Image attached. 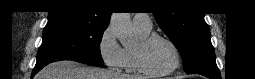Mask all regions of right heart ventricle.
<instances>
[{
  "label": "right heart ventricle",
  "instance_id": "e07e8e85",
  "mask_svg": "<svg viewBox=\"0 0 255 79\" xmlns=\"http://www.w3.org/2000/svg\"><path fill=\"white\" fill-rule=\"evenodd\" d=\"M136 35L140 41L146 38L151 33L150 30H145L142 28L134 27ZM135 48L136 47H126L124 48V68L127 73L137 74L140 71L137 68L136 59H135Z\"/></svg>",
  "mask_w": 255,
  "mask_h": 79
}]
</instances>
